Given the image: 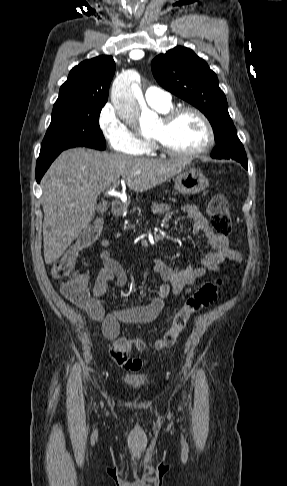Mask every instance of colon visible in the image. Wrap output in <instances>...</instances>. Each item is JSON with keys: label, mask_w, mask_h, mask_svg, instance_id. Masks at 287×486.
<instances>
[{"label": "colon", "mask_w": 287, "mask_h": 486, "mask_svg": "<svg viewBox=\"0 0 287 486\" xmlns=\"http://www.w3.org/2000/svg\"><path fill=\"white\" fill-rule=\"evenodd\" d=\"M208 214L212 229L215 233L228 236L232 230V220L228 210L227 200L222 195H214L208 205ZM102 228L101 220L89 225L75 244L59 258L52 267V275L56 279H66L61 285V293L65 298L78 306L85 307L90 299L89 280L85 274L73 272L77 254L90 246L99 236ZM221 280L200 286L194 293L186 298L171 318L169 327L154 343L156 348L171 347L186 328L191 316L213 304L219 294ZM147 344L142 339L126 337L116 338L110 347V356L119 366L127 370L137 371L142 367L139 358L131 357L132 348L143 350Z\"/></svg>", "instance_id": "obj_1"}]
</instances>
